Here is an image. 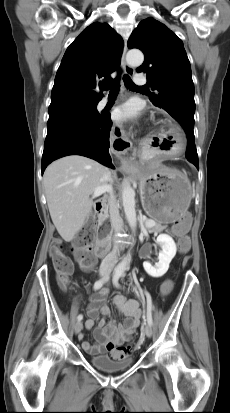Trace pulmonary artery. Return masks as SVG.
<instances>
[{
  "label": "pulmonary artery",
  "mask_w": 230,
  "mask_h": 413,
  "mask_svg": "<svg viewBox=\"0 0 230 413\" xmlns=\"http://www.w3.org/2000/svg\"><path fill=\"white\" fill-rule=\"evenodd\" d=\"M134 81L137 85H143L145 83H147V77L141 73L136 74L134 76ZM108 104V99L107 98H103L99 101L98 103V107L99 108H103Z\"/></svg>",
  "instance_id": "1"
}]
</instances>
